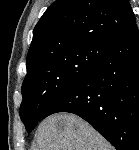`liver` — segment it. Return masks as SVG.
Here are the masks:
<instances>
[{
  "label": "liver",
  "instance_id": "1",
  "mask_svg": "<svg viewBox=\"0 0 139 150\" xmlns=\"http://www.w3.org/2000/svg\"><path fill=\"white\" fill-rule=\"evenodd\" d=\"M36 150H113L87 122L73 114H54L41 122Z\"/></svg>",
  "mask_w": 139,
  "mask_h": 150
}]
</instances>
